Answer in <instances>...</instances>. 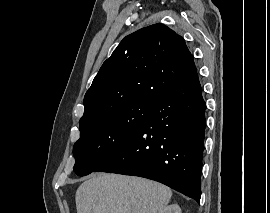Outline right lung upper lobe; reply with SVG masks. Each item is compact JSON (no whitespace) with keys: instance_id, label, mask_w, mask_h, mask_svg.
<instances>
[{"instance_id":"right-lung-upper-lobe-1","label":"right lung upper lobe","mask_w":270,"mask_h":213,"mask_svg":"<svg viewBox=\"0 0 270 213\" xmlns=\"http://www.w3.org/2000/svg\"><path fill=\"white\" fill-rule=\"evenodd\" d=\"M197 71L184 39L163 24L126 36L101 66L84 97L83 122L133 102L157 103Z\"/></svg>"}]
</instances>
